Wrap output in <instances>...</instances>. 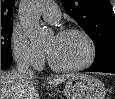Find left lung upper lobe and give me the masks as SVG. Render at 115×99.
<instances>
[{
  "label": "left lung upper lobe",
  "mask_w": 115,
  "mask_h": 99,
  "mask_svg": "<svg viewBox=\"0 0 115 99\" xmlns=\"http://www.w3.org/2000/svg\"><path fill=\"white\" fill-rule=\"evenodd\" d=\"M96 47L94 67L115 63V17L110 0H61Z\"/></svg>",
  "instance_id": "left-lung-upper-lobe-1"
}]
</instances>
